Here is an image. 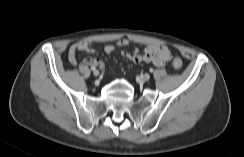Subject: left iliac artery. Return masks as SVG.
<instances>
[{
  "instance_id": "44dca946",
  "label": "left iliac artery",
  "mask_w": 244,
  "mask_h": 157,
  "mask_svg": "<svg viewBox=\"0 0 244 157\" xmlns=\"http://www.w3.org/2000/svg\"><path fill=\"white\" fill-rule=\"evenodd\" d=\"M150 72H153V69L152 68L150 69Z\"/></svg>"
}]
</instances>
